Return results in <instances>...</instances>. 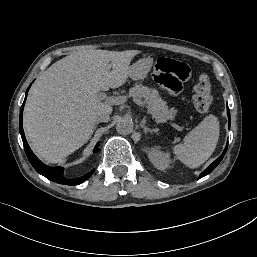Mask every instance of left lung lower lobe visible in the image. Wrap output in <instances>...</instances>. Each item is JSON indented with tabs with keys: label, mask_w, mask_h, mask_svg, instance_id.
Returning <instances> with one entry per match:
<instances>
[{
	"label": "left lung lower lobe",
	"mask_w": 257,
	"mask_h": 257,
	"mask_svg": "<svg viewBox=\"0 0 257 257\" xmlns=\"http://www.w3.org/2000/svg\"><path fill=\"white\" fill-rule=\"evenodd\" d=\"M227 114H228V118H229L228 125L230 126V112H229L228 106H227ZM227 147H228V143H227L226 148H225L224 152L222 153V155L218 159H216L207 169H205L200 174L199 178L206 176L207 174H209L211 171H213L216 168V166L221 162L222 158L224 157V155L226 153V150H227Z\"/></svg>",
	"instance_id": "left-lung-lower-lobe-1"
}]
</instances>
